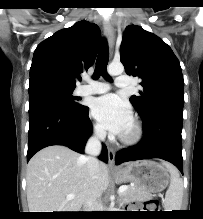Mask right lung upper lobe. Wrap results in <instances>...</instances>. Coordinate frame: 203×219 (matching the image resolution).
Here are the masks:
<instances>
[{
  "label": "right lung upper lobe",
  "instance_id": "cb5924a9",
  "mask_svg": "<svg viewBox=\"0 0 203 219\" xmlns=\"http://www.w3.org/2000/svg\"><path fill=\"white\" fill-rule=\"evenodd\" d=\"M99 38V27L85 20L57 31L35 49L29 82L53 80L76 87L79 74L94 63Z\"/></svg>",
  "mask_w": 203,
  "mask_h": 219
}]
</instances>
